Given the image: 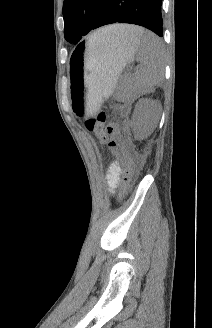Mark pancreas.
<instances>
[{
	"label": "pancreas",
	"mask_w": 212,
	"mask_h": 328,
	"mask_svg": "<svg viewBox=\"0 0 212 328\" xmlns=\"http://www.w3.org/2000/svg\"><path fill=\"white\" fill-rule=\"evenodd\" d=\"M127 83H128V89H131V85L129 84V81H127Z\"/></svg>",
	"instance_id": "obj_1"
}]
</instances>
